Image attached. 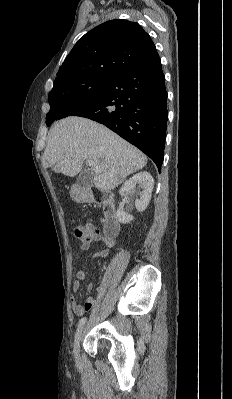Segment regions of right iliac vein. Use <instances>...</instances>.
Masks as SVG:
<instances>
[{"label":"right iliac vein","instance_id":"obj_1","mask_svg":"<svg viewBox=\"0 0 232 399\" xmlns=\"http://www.w3.org/2000/svg\"><path fill=\"white\" fill-rule=\"evenodd\" d=\"M81 330H84V327H81ZM82 338H83L82 333H81V332H78L77 335H76V337H75V344H74V347H75V348H78V347H79V344H80V341L82 340Z\"/></svg>","mask_w":232,"mask_h":399}]
</instances>
